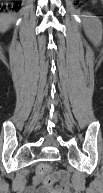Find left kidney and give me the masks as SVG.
Wrapping results in <instances>:
<instances>
[{
	"label": "left kidney",
	"instance_id": "left-kidney-1",
	"mask_svg": "<svg viewBox=\"0 0 103 193\" xmlns=\"http://www.w3.org/2000/svg\"><path fill=\"white\" fill-rule=\"evenodd\" d=\"M85 30L88 37L93 41L97 42L101 34L100 22L96 19H87L85 21Z\"/></svg>",
	"mask_w": 103,
	"mask_h": 193
}]
</instances>
